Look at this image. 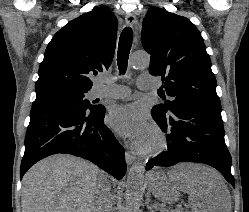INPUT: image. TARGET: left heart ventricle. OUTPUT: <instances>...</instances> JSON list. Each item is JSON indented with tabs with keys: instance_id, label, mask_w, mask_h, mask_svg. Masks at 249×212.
<instances>
[{
	"instance_id": "b2bd125f",
	"label": "left heart ventricle",
	"mask_w": 249,
	"mask_h": 212,
	"mask_svg": "<svg viewBox=\"0 0 249 212\" xmlns=\"http://www.w3.org/2000/svg\"><path fill=\"white\" fill-rule=\"evenodd\" d=\"M155 142V136L154 134L149 130L147 137H146V143H145V147H149L152 146Z\"/></svg>"
}]
</instances>
